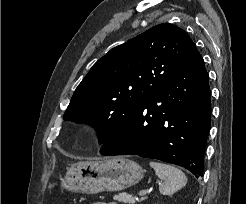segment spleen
I'll list each match as a JSON object with an SVG mask.
<instances>
[{
  "label": "spleen",
  "instance_id": "spleen-1",
  "mask_svg": "<svg viewBox=\"0 0 246 204\" xmlns=\"http://www.w3.org/2000/svg\"><path fill=\"white\" fill-rule=\"evenodd\" d=\"M150 166L155 170L156 175L163 180L159 186V191L163 195H171L187 183L186 175L173 165L151 161Z\"/></svg>",
  "mask_w": 246,
  "mask_h": 204
}]
</instances>
